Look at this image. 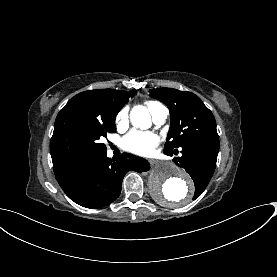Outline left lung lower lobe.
<instances>
[{
  "mask_svg": "<svg viewBox=\"0 0 277 277\" xmlns=\"http://www.w3.org/2000/svg\"><path fill=\"white\" fill-rule=\"evenodd\" d=\"M219 146V138H202L181 146L182 155L173 159L193 179L195 184L194 198H197L205 190L214 173ZM173 152L178 154L177 149H174ZM173 152H168L167 155L172 156Z\"/></svg>",
  "mask_w": 277,
  "mask_h": 277,
  "instance_id": "0a47b994",
  "label": "left lung lower lobe"
}]
</instances>
